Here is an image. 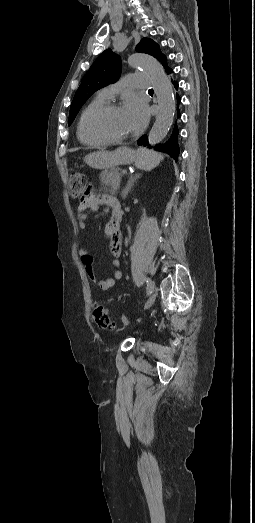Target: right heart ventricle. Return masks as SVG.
I'll use <instances>...</instances> for the list:
<instances>
[{
  "instance_id": "1",
  "label": "right heart ventricle",
  "mask_w": 255,
  "mask_h": 523,
  "mask_svg": "<svg viewBox=\"0 0 255 523\" xmlns=\"http://www.w3.org/2000/svg\"><path fill=\"white\" fill-rule=\"evenodd\" d=\"M110 98H107L105 97L103 94H101L100 92H98L93 98H91L87 104L84 106L81 114H80V117H79V120H78V124H77V135H78V138L79 140L83 143V144H86V145H99L101 144L102 142H99L97 140H94V139H91L89 138L84 129H83V121H84V118L86 116V114L92 109L94 108L95 106L99 105V104H102L104 102H107L109 101Z\"/></svg>"
}]
</instances>
